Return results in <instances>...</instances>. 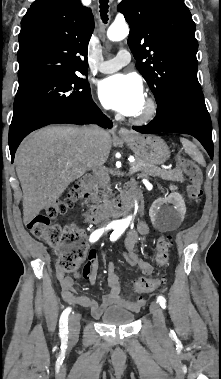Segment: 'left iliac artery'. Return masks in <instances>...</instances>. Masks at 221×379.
Returning <instances> with one entry per match:
<instances>
[{
  "label": "left iliac artery",
  "mask_w": 221,
  "mask_h": 379,
  "mask_svg": "<svg viewBox=\"0 0 221 379\" xmlns=\"http://www.w3.org/2000/svg\"><path fill=\"white\" fill-rule=\"evenodd\" d=\"M124 232V228L123 227H118L110 236V240L111 241H115L117 240L121 234ZM157 303L160 304V306L162 308H165L166 306V299L164 298V296L160 295L157 297Z\"/></svg>",
  "instance_id": "1"
}]
</instances>
